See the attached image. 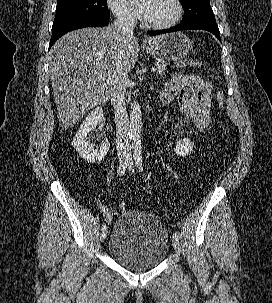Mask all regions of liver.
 Here are the masks:
<instances>
[{
  "mask_svg": "<svg viewBox=\"0 0 272 303\" xmlns=\"http://www.w3.org/2000/svg\"><path fill=\"white\" fill-rule=\"evenodd\" d=\"M164 37H145L144 42L156 43ZM138 53V40L133 36L124 42L113 25L81 28L61 37L49 52L50 79L61 127L67 130L88 110L108 101L116 62L121 59L128 74Z\"/></svg>",
  "mask_w": 272,
  "mask_h": 303,
  "instance_id": "1",
  "label": "liver"
}]
</instances>
